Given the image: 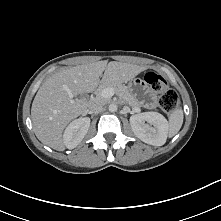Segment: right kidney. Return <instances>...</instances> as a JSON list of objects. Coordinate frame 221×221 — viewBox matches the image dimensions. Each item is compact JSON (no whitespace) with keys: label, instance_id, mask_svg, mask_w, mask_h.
I'll return each instance as SVG.
<instances>
[{"label":"right kidney","instance_id":"ca27d5eb","mask_svg":"<svg viewBox=\"0 0 221 221\" xmlns=\"http://www.w3.org/2000/svg\"><path fill=\"white\" fill-rule=\"evenodd\" d=\"M90 127V118L84 117L72 121L69 126L65 129L63 134V141L68 149L77 147L85 135L87 134Z\"/></svg>","mask_w":221,"mask_h":221}]
</instances>
